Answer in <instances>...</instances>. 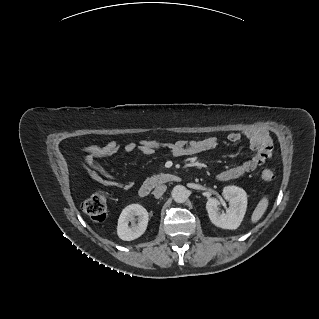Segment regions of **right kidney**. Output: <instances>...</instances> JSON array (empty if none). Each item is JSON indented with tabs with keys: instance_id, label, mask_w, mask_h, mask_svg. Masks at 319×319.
I'll return each mask as SVG.
<instances>
[{
	"instance_id": "obj_1",
	"label": "right kidney",
	"mask_w": 319,
	"mask_h": 319,
	"mask_svg": "<svg viewBox=\"0 0 319 319\" xmlns=\"http://www.w3.org/2000/svg\"><path fill=\"white\" fill-rule=\"evenodd\" d=\"M138 217V223L135 224ZM149 215L147 210L140 204L126 206L118 219L117 234L124 241H131L140 237L146 231ZM131 222V226H129Z\"/></svg>"
}]
</instances>
